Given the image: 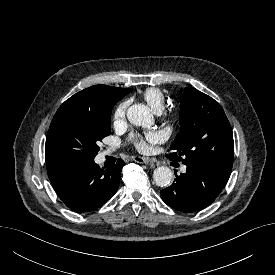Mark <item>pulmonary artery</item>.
I'll use <instances>...</instances> for the list:
<instances>
[{"instance_id":"obj_1","label":"pulmonary artery","mask_w":275,"mask_h":275,"mask_svg":"<svg viewBox=\"0 0 275 275\" xmlns=\"http://www.w3.org/2000/svg\"><path fill=\"white\" fill-rule=\"evenodd\" d=\"M110 152V151H109ZM186 170V168L185 167H182V171L184 172Z\"/></svg>"}]
</instances>
